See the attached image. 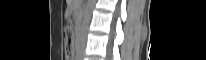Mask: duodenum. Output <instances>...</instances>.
Masks as SVG:
<instances>
[{
    "mask_svg": "<svg viewBox=\"0 0 206 60\" xmlns=\"http://www.w3.org/2000/svg\"><path fill=\"white\" fill-rule=\"evenodd\" d=\"M77 33H78V34H83V33H84V30H83V29H78V30H77Z\"/></svg>",
    "mask_w": 206,
    "mask_h": 60,
    "instance_id": "1",
    "label": "duodenum"
}]
</instances>
